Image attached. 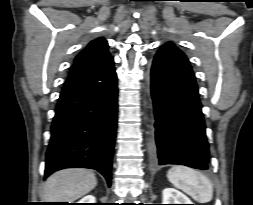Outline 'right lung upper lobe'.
<instances>
[{"mask_svg":"<svg viewBox=\"0 0 253 205\" xmlns=\"http://www.w3.org/2000/svg\"><path fill=\"white\" fill-rule=\"evenodd\" d=\"M113 59L104 38L91 41L75 58L69 77L99 68Z\"/></svg>","mask_w":253,"mask_h":205,"instance_id":"cb5924a9","label":"right lung upper lobe"}]
</instances>
